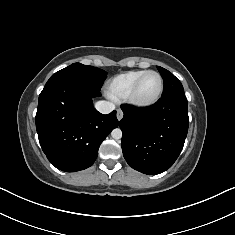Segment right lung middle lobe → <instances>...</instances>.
Instances as JSON below:
<instances>
[{
  "label": "right lung middle lobe",
  "mask_w": 235,
  "mask_h": 235,
  "mask_svg": "<svg viewBox=\"0 0 235 235\" xmlns=\"http://www.w3.org/2000/svg\"><path fill=\"white\" fill-rule=\"evenodd\" d=\"M107 73L104 70L81 63L72 65L56 72L47 81L45 86L57 83L73 82L85 85L95 90H100Z\"/></svg>",
  "instance_id": "right-lung-middle-lobe-1"
}]
</instances>
